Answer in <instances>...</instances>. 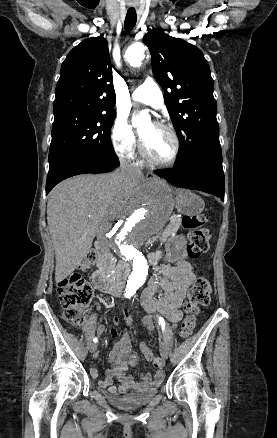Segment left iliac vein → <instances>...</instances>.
Returning a JSON list of instances; mask_svg holds the SVG:
<instances>
[{"mask_svg":"<svg viewBox=\"0 0 277 438\" xmlns=\"http://www.w3.org/2000/svg\"><path fill=\"white\" fill-rule=\"evenodd\" d=\"M161 355L164 359H167L169 357V349L164 344L161 346Z\"/></svg>","mask_w":277,"mask_h":438,"instance_id":"left-iliac-vein-1","label":"left iliac vein"}]
</instances>
